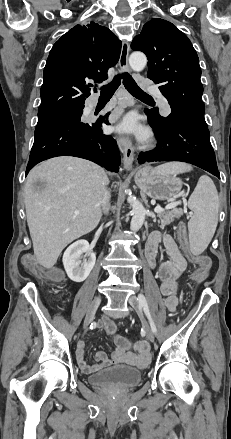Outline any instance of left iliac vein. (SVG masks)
Masks as SVG:
<instances>
[{
    "instance_id": "1",
    "label": "left iliac vein",
    "mask_w": 231,
    "mask_h": 439,
    "mask_svg": "<svg viewBox=\"0 0 231 439\" xmlns=\"http://www.w3.org/2000/svg\"><path fill=\"white\" fill-rule=\"evenodd\" d=\"M128 302L136 310V312L140 316V318H141V320L143 322V325H144V327L146 329L148 340L150 342H153L154 341V334L150 330V328H149V326H148V324H147V322H146V320L144 318V315H143V312H142V308L140 306L138 298L135 295H132V296L129 297Z\"/></svg>"
}]
</instances>
